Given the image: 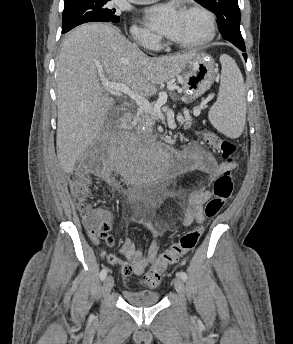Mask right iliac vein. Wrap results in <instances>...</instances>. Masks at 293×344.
Wrapping results in <instances>:
<instances>
[{"instance_id":"63e3f726","label":"right iliac vein","mask_w":293,"mask_h":344,"mask_svg":"<svg viewBox=\"0 0 293 344\" xmlns=\"http://www.w3.org/2000/svg\"><path fill=\"white\" fill-rule=\"evenodd\" d=\"M113 285H114V279L112 276H107L105 279H104V282H103V287H102V292L104 295H107L110 293V291L112 290L113 288Z\"/></svg>"}]
</instances>
